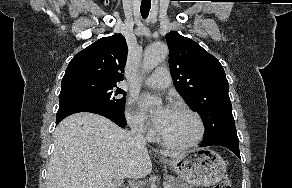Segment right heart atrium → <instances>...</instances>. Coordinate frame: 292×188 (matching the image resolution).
I'll return each mask as SVG.
<instances>
[{
    "mask_svg": "<svg viewBox=\"0 0 292 188\" xmlns=\"http://www.w3.org/2000/svg\"><path fill=\"white\" fill-rule=\"evenodd\" d=\"M125 116L130 128L134 132L143 135H148L151 132V127L146 117L141 112L133 109L132 101L128 102Z\"/></svg>",
    "mask_w": 292,
    "mask_h": 188,
    "instance_id": "obj_1",
    "label": "right heart atrium"
}]
</instances>
